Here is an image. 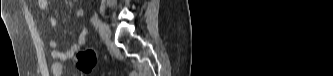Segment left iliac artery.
Segmentation results:
<instances>
[{
    "label": "left iliac artery",
    "instance_id": "left-iliac-artery-1",
    "mask_svg": "<svg viewBox=\"0 0 333 76\" xmlns=\"http://www.w3.org/2000/svg\"><path fill=\"white\" fill-rule=\"evenodd\" d=\"M91 22L96 27H98L99 24H100V20H99V18L96 15H94V16L91 17Z\"/></svg>",
    "mask_w": 333,
    "mask_h": 76
}]
</instances>
